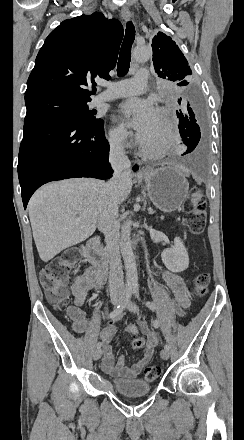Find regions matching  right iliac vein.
<instances>
[{"mask_svg":"<svg viewBox=\"0 0 244 440\" xmlns=\"http://www.w3.org/2000/svg\"><path fill=\"white\" fill-rule=\"evenodd\" d=\"M111 303H112L113 305H119V304L122 303V299H121L120 297H117V296H115V295H112V296H111ZM102 353H103V350H102V349H100V348L96 349V350L93 352V359H94L95 361L99 360V359L101 358V356H102Z\"/></svg>","mask_w":244,"mask_h":440,"instance_id":"obj_1","label":"right iliac vein"}]
</instances>
